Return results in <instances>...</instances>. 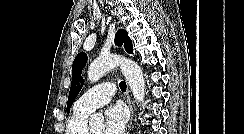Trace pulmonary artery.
Here are the masks:
<instances>
[{
  "label": "pulmonary artery",
  "mask_w": 244,
  "mask_h": 134,
  "mask_svg": "<svg viewBox=\"0 0 244 134\" xmlns=\"http://www.w3.org/2000/svg\"><path fill=\"white\" fill-rule=\"evenodd\" d=\"M115 93L111 82L101 83L87 90L76 102L74 108L78 111L91 113L107 104Z\"/></svg>",
  "instance_id": "1"
}]
</instances>
